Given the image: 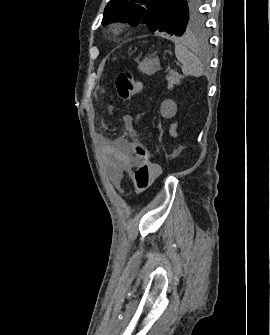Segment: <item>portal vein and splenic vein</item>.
I'll use <instances>...</instances> for the list:
<instances>
[{
  "instance_id": "obj_1",
  "label": "portal vein and splenic vein",
  "mask_w": 270,
  "mask_h": 335,
  "mask_svg": "<svg viewBox=\"0 0 270 335\" xmlns=\"http://www.w3.org/2000/svg\"><path fill=\"white\" fill-rule=\"evenodd\" d=\"M175 65H176L178 68H181L180 63L177 62Z\"/></svg>"
}]
</instances>
